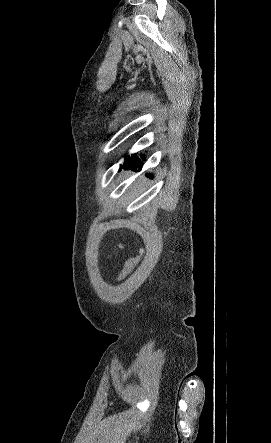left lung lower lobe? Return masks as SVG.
Wrapping results in <instances>:
<instances>
[{
  "label": "left lung lower lobe",
  "mask_w": 271,
  "mask_h": 443,
  "mask_svg": "<svg viewBox=\"0 0 271 443\" xmlns=\"http://www.w3.org/2000/svg\"><path fill=\"white\" fill-rule=\"evenodd\" d=\"M142 159L144 160V157L141 155ZM143 163L141 160L136 156L132 155L130 158H125L124 164L120 167L119 171H121L122 168L125 170H136L137 168L141 169ZM150 178H152V175H149Z\"/></svg>",
  "instance_id": "obj_1"
}]
</instances>
